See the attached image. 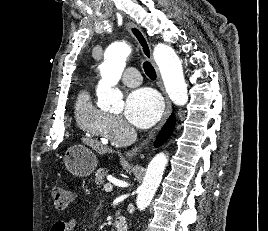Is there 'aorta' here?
I'll return each instance as SVG.
<instances>
[{
  "mask_svg": "<svg viewBox=\"0 0 268 231\" xmlns=\"http://www.w3.org/2000/svg\"><path fill=\"white\" fill-rule=\"evenodd\" d=\"M130 53V46L122 42L113 43L106 49L105 59L100 68L101 80L98 82L96 90L100 108L111 111H121L124 108L123 95L116 85L122 76L126 59ZM153 57L159 67L170 99L175 105H185L188 101L187 85L181 61L174 49L159 43L154 48ZM167 163L168 156L160 152L148 164L142 184L138 188L136 205L139 210H144L151 202L162 180Z\"/></svg>",
  "mask_w": 268,
  "mask_h": 231,
  "instance_id": "obj_1",
  "label": "aorta"
}]
</instances>
